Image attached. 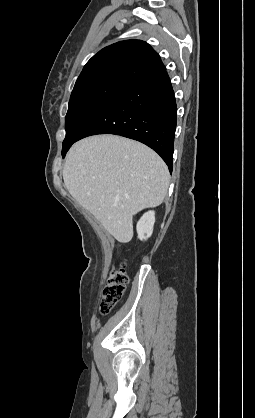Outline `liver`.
<instances>
[{
  "label": "liver",
  "mask_w": 255,
  "mask_h": 418,
  "mask_svg": "<svg viewBox=\"0 0 255 418\" xmlns=\"http://www.w3.org/2000/svg\"><path fill=\"white\" fill-rule=\"evenodd\" d=\"M72 197L119 242L133 237V215L159 206L169 171L149 147L116 135H96L75 143L63 168Z\"/></svg>",
  "instance_id": "6515ba94"
}]
</instances>
